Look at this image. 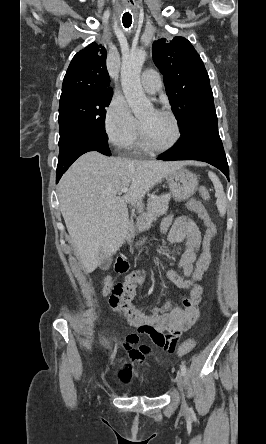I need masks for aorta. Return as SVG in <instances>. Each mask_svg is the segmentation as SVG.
<instances>
[{"label":"aorta","instance_id":"aorta-1","mask_svg":"<svg viewBox=\"0 0 266 444\" xmlns=\"http://www.w3.org/2000/svg\"><path fill=\"white\" fill-rule=\"evenodd\" d=\"M146 59L144 50H136L125 56L121 67V85L132 112L140 117L152 109L140 83V73Z\"/></svg>","mask_w":266,"mask_h":444}]
</instances>
